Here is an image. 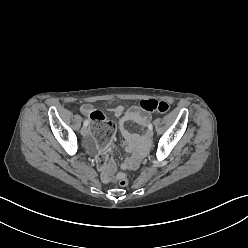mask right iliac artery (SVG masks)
<instances>
[{
	"instance_id": "right-iliac-artery-1",
	"label": "right iliac artery",
	"mask_w": 248,
	"mask_h": 248,
	"mask_svg": "<svg viewBox=\"0 0 248 248\" xmlns=\"http://www.w3.org/2000/svg\"><path fill=\"white\" fill-rule=\"evenodd\" d=\"M89 125V120H85L83 126L87 127Z\"/></svg>"
}]
</instances>
